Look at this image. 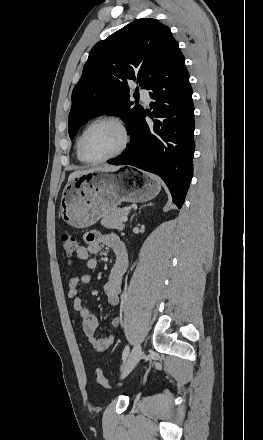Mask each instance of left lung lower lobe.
Returning <instances> with one entry per match:
<instances>
[{
    "label": "left lung lower lobe",
    "instance_id": "obj_1",
    "mask_svg": "<svg viewBox=\"0 0 263 440\" xmlns=\"http://www.w3.org/2000/svg\"><path fill=\"white\" fill-rule=\"evenodd\" d=\"M150 89V103L156 117L145 121V111L129 130L132 141L113 165H131L160 176L178 208L184 203L193 176L194 106L189 73L176 47L169 55Z\"/></svg>",
    "mask_w": 263,
    "mask_h": 440
}]
</instances>
